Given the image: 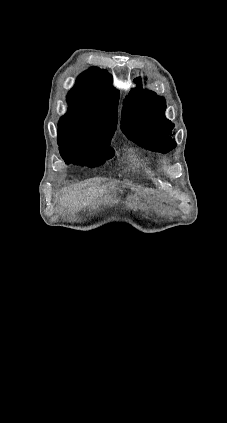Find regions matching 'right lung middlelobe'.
Segmentation results:
<instances>
[{"label":"right lung middle lobe","mask_w":227,"mask_h":423,"mask_svg":"<svg viewBox=\"0 0 227 423\" xmlns=\"http://www.w3.org/2000/svg\"><path fill=\"white\" fill-rule=\"evenodd\" d=\"M111 138L89 141H58L60 154L66 163L99 166L112 158L114 150L109 147Z\"/></svg>","instance_id":"dd1d6c3e"}]
</instances>
